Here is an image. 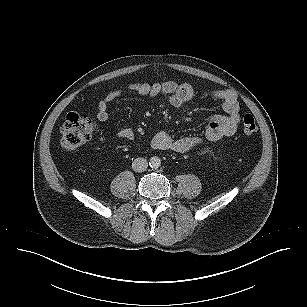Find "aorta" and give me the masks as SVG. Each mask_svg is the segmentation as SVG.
I'll list each match as a JSON object with an SVG mask.
<instances>
[{
    "instance_id": "obj_1",
    "label": "aorta",
    "mask_w": 307,
    "mask_h": 307,
    "mask_svg": "<svg viewBox=\"0 0 307 307\" xmlns=\"http://www.w3.org/2000/svg\"><path fill=\"white\" fill-rule=\"evenodd\" d=\"M149 165L151 168H159L161 165V159L157 156L150 158Z\"/></svg>"
}]
</instances>
